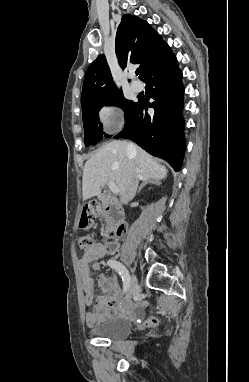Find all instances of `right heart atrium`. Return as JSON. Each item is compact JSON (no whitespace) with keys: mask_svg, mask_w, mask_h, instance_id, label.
<instances>
[{"mask_svg":"<svg viewBox=\"0 0 249 382\" xmlns=\"http://www.w3.org/2000/svg\"><path fill=\"white\" fill-rule=\"evenodd\" d=\"M99 123L105 131H114L120 127L119 110L114 105L102 107L98 114Z\"/></svg>","mask_w":249,"mask_h":382,"instance_id":"d8ad5b80","label":"right heart atrium"}]
</instances>
